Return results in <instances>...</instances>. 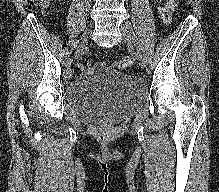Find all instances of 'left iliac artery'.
<instances>
[{"label": "left iliac artery", "mask_w": 219, "mask_h": 192, "mask_svg": "<svg viewBox=\"0 0 219 192\" xmlns=\"http://www.w3.org/2000/svg\"><path fill=\"white\" fill-rule=\"evenodd\" d=\"M133 40H134V38H133ZM134 44H135V46H136V48H137V51L140 52V48L138 47V45H137V43L135 42V40H134Z\"/></svg>", "instance_id": "obj_1"}]
</instances>
